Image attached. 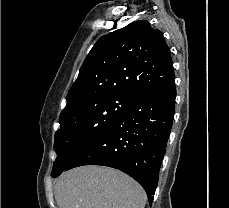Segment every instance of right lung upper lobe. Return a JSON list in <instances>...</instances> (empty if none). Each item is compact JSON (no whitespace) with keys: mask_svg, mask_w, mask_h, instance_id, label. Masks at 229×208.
<instances>
[{"mask_svg":"<svg viewBox=\"0 0 229 208\" xmlns=\"http://www.w3.org/2000/svg\"><path fill=\"white\" fill-rule=\"evenodd\" d=\"M173 77L172 58L162 32L147 20L132 22L97 40L68 92L60 117L102 96L137 100Z\"/></svg>","mask_w":229,"mask_h":208,"instance_id":"cb5924a9","label":"right lung upper lobe"}]
</instances>
